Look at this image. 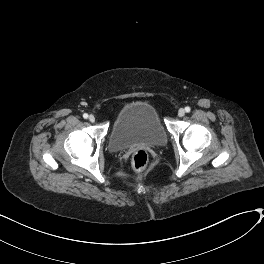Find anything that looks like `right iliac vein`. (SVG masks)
<instances>
[{
  "label": "right iliac vein",
  "instance_id": "obj_1",
  "mask_svg": "<svg viewBox=\"0 0 264 264\" xmlns=\"http://www.w3.org/2000/svg\"><path fill=\"white\" fill-rule=\"evenodd\" d=\"M95 120H96V118H95L94 115H90V116H89V121H90V122L93 123V122H95Z\"/></svg>",
  "mask_w": 264,
  "mask_h": 264
}]
</instances>
